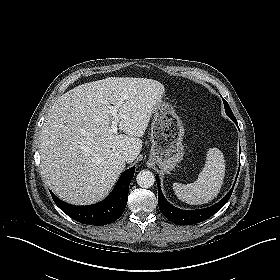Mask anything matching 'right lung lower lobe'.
Segmentation results:
<instances>
[{
    "label": "right lung lower lobe",
    "mask_w": 280,
    "mask_h": 280,
    "mask_svg": "<svg viewBox=\"0 0 280 280\" xmlns=\"http://www.w3.org/2000/svg\"><path fill=\"white\" fill-rule=\"evenodd\" d=\"M134 172L135 167L124 171L110 195L105 200L94 205L74 206L63 202L52 192L50 193L55 204L74 220L90 225L110 224L116 221L125 210L129 184Z\"/></svg>",
    "instance_id": "98d812e1"
}]
</instances>
